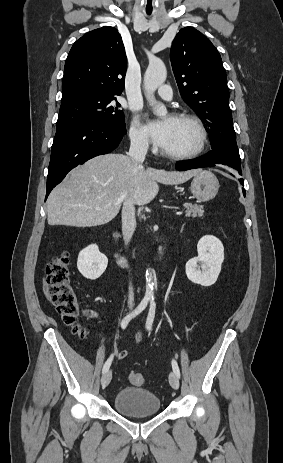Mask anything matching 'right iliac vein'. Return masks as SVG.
<instances>
[{"label": "right iliac vein", "instance_id": "63e3f726", "mask_svg": "<svg viewBox=\"0 0 283 463\" xmlns=\"http://www.w3.org/2000/svg\"><path fill=\"white\" fill-rule=\"evenodd\" d=\"M112 379V372L109 370V371H106L103 376H102V379H101V385L102 387H106L109 385L110 381Z\"/></svg>", "mask_w": 283, "mask_h": 463}]
</instances>
